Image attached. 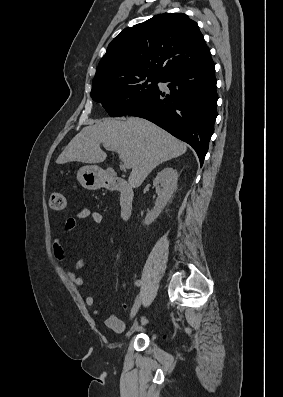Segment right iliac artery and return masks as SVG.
Masks as SVG:
<instances>
[{
  "label": "right iliac artery",
  "mask_w": 283,
  "mask_h": 397,
  "mask_svg": "<svg viewBox=\"0 0 283 397\" xmlns=\"http://www.w3.org/2000/svg\"><path fill=\"white\" fill-rule=\"evenodd\" d=\"M136 285H137V286H140V281H137ZM137 298H138V297H137Z\"/></svg>",
  "instance_id": "right-iliac-artery-1"
}]
</instances>
